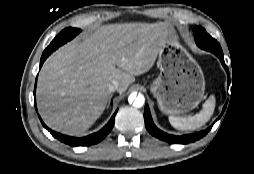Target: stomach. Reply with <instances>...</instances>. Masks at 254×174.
I'll return each mask as SVG.
<instances>
[{
    "label": "stomach",
    "instance_id": "1",
    "mask_svg": "<svg viewBox=\"0 0 254 174\" xmlns=\"http://www.w3.org/2000/svg\"><path fill=\"white\" fill-rule=\"evenodd\" d=\"M157 66L160 73L150 85V91L163 113H186L201 102L205 91L202 69L174 38L159 47Z\"/></svg>",
    "mask_w": 254,
    "mask_h": 174
}]
</instances>
